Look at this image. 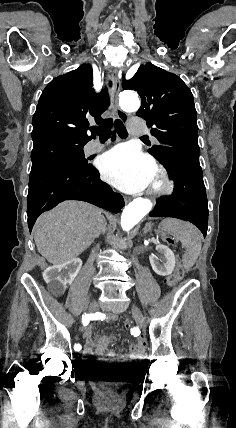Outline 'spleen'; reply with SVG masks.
Masks as SVG:
<instances>
[{
  "label": "spleen",
  "mask_w": 236,
  "mask_h": 428,
  "mask_svg": "<svg viewBox=\"0 0 236 428\" xmlns=\"http://www.w3.org/2000/svg\"><path fill=\"white\" fill-rule=\"evenodd\" d=\"M160 230H164V232H168V234L180 240L182 246L186 248L183 256V264L192 268L201 250L199 230L193 224L181 222V220H176V218H165L160 224Z\"/></svg>",
  "instance_id": "spleen-1"
}]
</instances>
